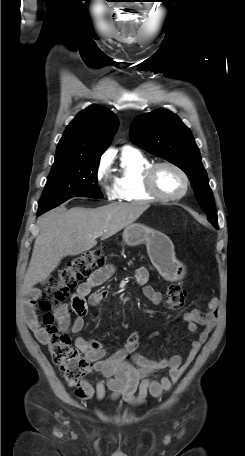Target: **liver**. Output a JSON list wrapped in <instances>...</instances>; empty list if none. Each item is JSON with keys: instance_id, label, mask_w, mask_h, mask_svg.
Here are the masks:
<instances>
[{"instance_id": "liver-1", "label": "liver", "mask_w": 245, "mask_h": 456, "mask_svg": "<svg viewBox=\"0 0 245 456\" xmlns=\"http://www.w3.org/2000/svg\"><path fill=\"white\" fill-rule=\"evenodd\" d=\"M150 205L145 202L112 203L95 209L57 207L38 219L37 236L23 281L22 292L45 280L63 257L78 255L135 222Z\"/></svg>"}]
</instances>
